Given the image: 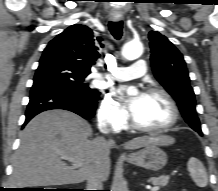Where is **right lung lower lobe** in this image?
Here are the masks:
<instances>
[{
  "instance_id": "1",
  "label": "right lung lower lobe",
  "mask_w": 218,
  "mask_h": 191,
  "mask_svg": "<svg viewBox=\"0 0 218 191\" xmlns=\"http://www.w3.org/2000/svg\"><path fill=\"white\" fill-rule=\"evenodd\" d=\"M99 95L87 96L55 81H35L26 110L25 124L35 115L51 109L72 111L85 119L94 116Z\"/></svg>"
}]
</instances>
